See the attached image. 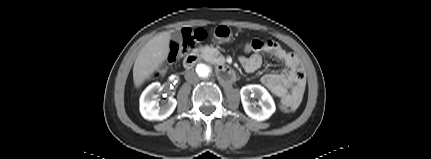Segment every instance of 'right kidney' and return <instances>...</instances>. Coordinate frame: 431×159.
<instances>
[{
    "label": "right kidney",
    "mask_w": 431,
    "mask_h": 159,
    "mask_svg": "<svg viewBox=\"0 0 431 159\" xmlns=\"http://www.w3.org/2000/svg\"><path fill=\"white\" fill-rule=\"evenodd\" d=\"M160 83L154 82L149 85L140 97V113L147 120H164L169 117L176 108L177 101L169 98L166 104L159 105L155 99V92L159 90Z\"/></svg>",
    "instance_id": "obj_1"
}]
</instances>
